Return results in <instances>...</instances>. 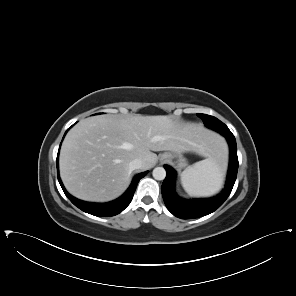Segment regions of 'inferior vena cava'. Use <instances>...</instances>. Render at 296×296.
I'll return each mask as SVG.
<instances>
[{
	"label": "inferior vena cava",
	"mask_w": 296,
	"mask_h": 296,
	"mask_svg": "<svg viewBox=\"0 0 296 296\" xmlns=\"http://www.w3.org/2000/svg\"><path fill=\"white\" fill-rule=\"evenodd\" d=\"M142 164H143L142 160L136 158V159L132 160V161L129 163V168H130V170H132V171H133V170H136V169H141V168H142Z\"/></svg>",
	"instance_id": "obj_1"
}]
</instances>
